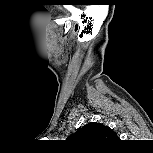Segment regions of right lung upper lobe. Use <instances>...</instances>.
<instances>
[{
    "label": "right lung upper lobe",
    "mask_w": 153,
    "mask_h": 153,
    "mask_svg": "<svg viewBox=\"0 0 153 153\" xmlns=\"http://www.w3.org/2000/svg\"><path fill=\"white\" fill-rule=\"evenodd\" d=\"M69 140L84 146H97L102 143L117 140L116 133L109 127L96 122H90L78 129Z\"/></svg>",
    "instance_id": "cb5924a9"
}]
</instances>
